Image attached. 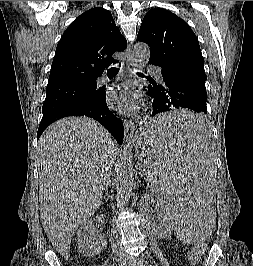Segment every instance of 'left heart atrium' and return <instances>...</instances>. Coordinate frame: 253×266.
<instances>
[{
  "mask_svg": "<svg viewBox=\"0 0 253 266\" xmlns=\"http://www.w3.org/2000/svg\"><path fill=\"white\" fill-rule=\"evenodd\" d=\"M108 100L114 109L127 114L135 113L142 105L140 94L129 83L114 87L108 95Z\"/></svg>",
  "mask_w": 253,
  "mask_h": 266,
  "instance_id": "1",
  "label": "left heart atrium"
}]
</instances>
